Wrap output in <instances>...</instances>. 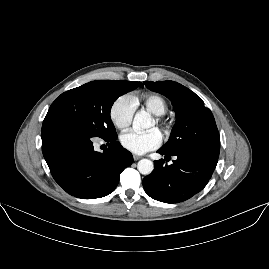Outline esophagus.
Listing matches in <instances>:
<instances>
[{"label":"esophagus","instance_id":"esophagus-1","mask_svg":"<svg viewBox=\"0 0 269 269\" xmlns=\"http://www.w3.org/2000/svg\"><path fill=\"white\" fill-rule=\"evenodd\" d=\"M133 158H134V161H138L142 158V156H139V155H133Z\"/></svg>","mask_w":269,"mask_h":269}]
</instances>
